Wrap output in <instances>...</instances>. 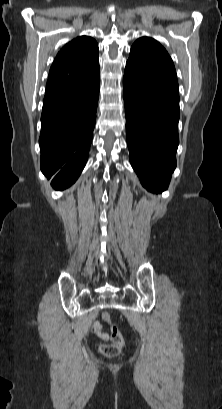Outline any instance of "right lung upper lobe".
<instances>
[{
    "label": "right lung upper lobe",
    "mask_w": 222,
    "mask_h": 409,
    "mask_svg": "<svg viewBox=\"0 0 222 409\" xmlns=\"http://www.w3.org/2000/svg\"><path fill=\"white\" fill-rule=\"evenodd\" d=\"M99 71L98 44L89 36H80L66 44L57 54L46 86L48 97L78 92L86 79Z\"/></svg>",
    "instance_id": "obj_1"
}]
</instances>
